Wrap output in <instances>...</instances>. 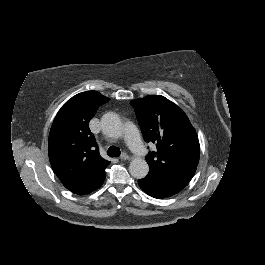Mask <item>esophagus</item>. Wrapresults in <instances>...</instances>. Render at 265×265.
I'll use <instances>...</instances> for the list:
<instances>
[{"instance_id":"34e87169","label":"esophagus","mask_w":265,"mask_h":265,"mask_svg":"<svg viewBox=\"0 0 265 265\" xmlns=\"http://www.w3.org/2000/svg\"><path fill=\"white\" fill-rule=\"evenodd\" d=\"M128 159H129V156H128L126 153H122V154L120 155V160L125 161V160H128Z\"/></svg>"}]
</instances>
